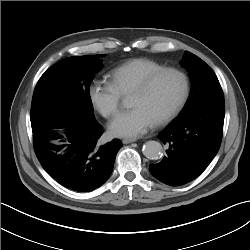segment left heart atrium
I'll return each instance as SVG.
<instances>
[{
    "instance_id": "1",
    "label": "left heart atrium",
    "mask_w": 250,
    "mask_h": 250,
    "mask_svg": "<svg viewBox=\"0 0 250 250\" xmlns=\"http://www.w3.org/2000/svg\"><path fill=\"white\" fill-rule=\"evenodd\" d=\"M156 121L142 107L121 113L110 124V132L117 137L135 138L145 134Z\"/></svg>"
}]
</instances>
